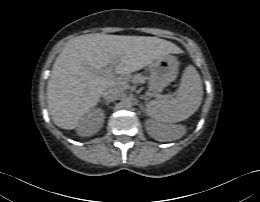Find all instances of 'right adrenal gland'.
Segmentation results:
<instances>
[{"label": "right adrenal gland", "instance_id": "2a0ac1e0", "mask_svg": "<svg viewBox=\"0 0 260 202\" xmlns=\"http://www.w3.org/2000/svg\"><path fill=\"white\" fill-rule=\"evenodd\" d=\"M102 103H105L106 105H109L110 101H108V100H103Z\"/></svg>", "mask_w": 260, "mask_h": 202}]
</instances>
